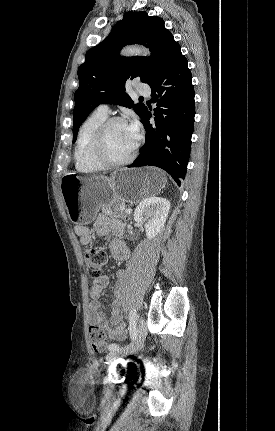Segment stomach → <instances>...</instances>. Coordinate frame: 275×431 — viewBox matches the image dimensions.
Masks as SVG:
<instances>
[{
  "label": "stomach",
  "mask_w": 275,
  "mask_h": 431,
  "mask_svg": "<svg viewBox=\"0 0 275 431\" xmlns=\"http://www.w3.org/2000/svg\"><path fill=\"white\" fill-rule=\"evenodd\" d=\"M165 174L153 167L120 169L111 177H83L65 174L60 183L62 198L71 222L83 226L92 222L103 204H135L160 192Z\"/></svg>",
  "instance_id": "0dacf381"
}]
</instances>
